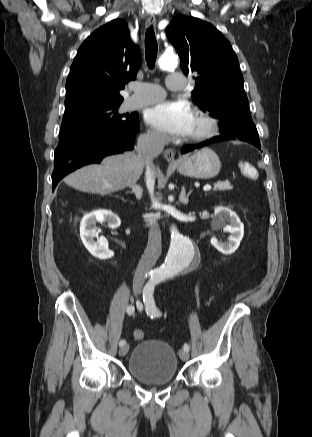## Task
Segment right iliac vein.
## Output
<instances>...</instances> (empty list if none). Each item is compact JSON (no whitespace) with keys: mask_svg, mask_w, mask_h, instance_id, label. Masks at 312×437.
<instances>
[{"mask_svg":"<svg viewBox=\"0 0 312 437\" xmlns=\"http://www.w3.org/2000/svg\"><path fill=\"white\" fill-rule=\"evenodd\" d=\"M140 289H141V283H140L139 277H137L135 290H136V292H140ZM128 350H129V346L127 344L121 346V348L119 350V355L125 356L127 354Z\"/></svg>","mask_w":312,"mask_h":437,"instance_id":"63e3f726","label":"right iliac vein"}]
</instances>
